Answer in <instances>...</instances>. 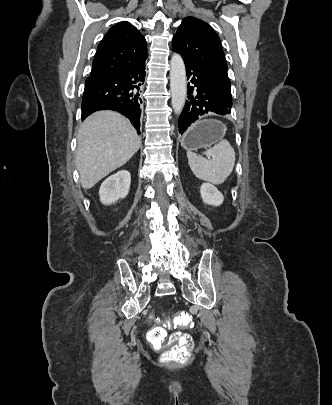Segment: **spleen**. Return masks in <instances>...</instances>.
<instances>
[{
    "label": "spleen",
    "mask_w": 332,
    "mask_h": 405,
    "mask_svg": "<svg viewBox=\"0 0 332 405\" xmlns=\"http://www.w3.org/2000/svg\"><path fill=\"white\" fill-rule=\"evenodd\" d=\"M204 158L188 151V164L196 178L215 185L222 184L233 171L235 151L226 139L205 152ZM210 157L212 159H210Z\"/></svg>",
    "instance_id": "3e777b00"
}]
</instances>
